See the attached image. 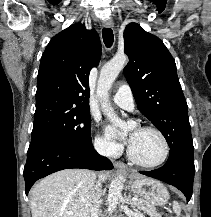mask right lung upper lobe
Wrapping results in <instances>:
<instances>
[{
  "label": "right lung upper lobe",
  "mask_w": 211,
  "mask_h": 217,
  "mask_svg": "<svg viewBox=\"0 0 211 217\" xmlns=\"http://www.w3.org/2000/svg\"><path fill=\"white\" fill-rule=\"evenodd\" d=\"M98 34L76 23L47 45L38 72L35 118L48 113L89 109V73L99 64Z\"/></svg>",
  "instance_id": "1"
}]
</instances>
